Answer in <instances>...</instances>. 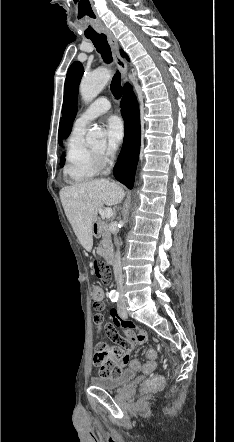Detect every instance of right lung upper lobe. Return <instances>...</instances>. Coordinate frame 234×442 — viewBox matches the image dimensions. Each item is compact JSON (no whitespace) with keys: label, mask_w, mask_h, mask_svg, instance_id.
<instances>
[{"label":"right lung upper lobe","mask_w":234,"mask_h":442,"mask_svg":"<svg viewBox=\"0 0 234 442\" xmlns=\"http://www.w3.org/2000/svg\"><path fill=\"white\" fill-rule=\"evenodd\" d=\"M59 133H60V130H59ZM59 143H60V145H61L60 135H59Z\"/></svg>","instance_id":"cb5924a9"}]
</instances>
